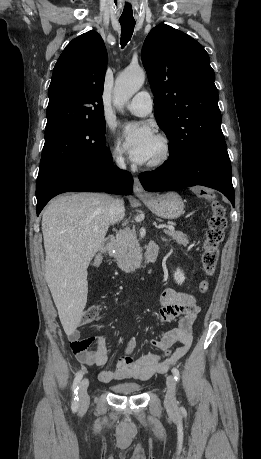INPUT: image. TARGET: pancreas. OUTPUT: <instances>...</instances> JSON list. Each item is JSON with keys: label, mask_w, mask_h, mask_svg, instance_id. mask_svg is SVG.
Returning a JSON list of instances; mask_svg holds the SVG:
<instances>
[{"label": "pancreas", "mask_w": 261, "mask_h": 459, "mask_svg": "<svg viewBox=\"0 0 261 459\" xmlns=\"http://www.w3.org/2000/svg\"><path fill=\"white\" fill-rule=\"evenodd\" d=\"M164 232L180 245L187 246L189 243L188 236L183 232L170 229ZM112 249L115 250V253H111V255L117 260L121 269L131 267L139 259L140 247L133 232L127 230L119 232L116 235Z\"/></svg>", "instance_id": "obj_1"}]
</instances>
